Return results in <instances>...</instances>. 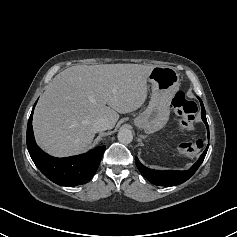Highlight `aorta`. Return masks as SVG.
I'll return each instance as SVG.
<instances>
[{"mask_svg":"<svg viewBox=\"0 0 237 237\" xmlns=\"http://www.w3.org/2000/svg\"><path fill=\"white\" fill-rule=\"evenodd\" d=\"M118 140L122 144H129L133 140V134L132 131L126 128H122L118 132Z\"/></svg>","mask_w":237,"mask_h":237,"instance_id":"obj_1","label":"aorta"}]
</instances>
